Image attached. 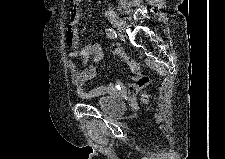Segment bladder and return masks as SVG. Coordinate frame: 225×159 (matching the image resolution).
<instances>
[{
  "label": "bladder",
  "instance_id": "bladder-1",
  "mask_svg": "<svg viewBox=\"0 0 225 159\" xmlns=\"http://www.w3.org/2000/svg\"><path fill=\"white\" fill-rule=\"evenodd\" d=\"M86 97L89 102L113 115H120L126 110L125 101L120 97L99 94H89Z\"/></svg>",
  "mask_w": 225,
  "mask_h": 159
}]
</instances>
